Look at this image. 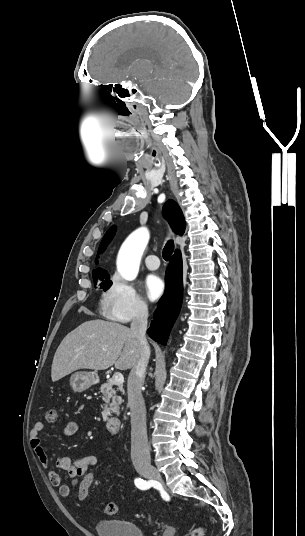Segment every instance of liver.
<instances>
[{
  "label": "liver",
  "mask_w": 305,
  "mask_h": 536,
  "mask_svg": "<svg viewBox=\"0 0 305 536\" xmlns=\"http://www.w3.org/2000/svg\"><path fill=\"white\" fill-rule=\"evenodd\" d=\"M106 348V350H103ZM142 346L129 328L90 320L67 334L58 346L52 362V382L75 370H130L140 360Z\"/></svg>",
  "instance_id": "1"
}]
</instances>
